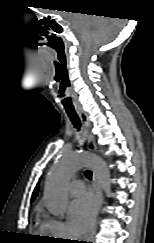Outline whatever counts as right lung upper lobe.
<instances>
[{"mask_svg":"<svg viewBox=\"0 0 154 243\" xmlns=\"http://www.w3.org/2000/svg\"><path fill=\"white\" fill-rule=\"evenodd\" d=\"M37 193H38V185L36 186V188L34 189V192L32 194V199H31L32 201L35 199Z\"/></svg>","mask_w":154,"mask_h":243,"instance_id":"obj_1","label":"right lung upper lobe"}]
</instances>
